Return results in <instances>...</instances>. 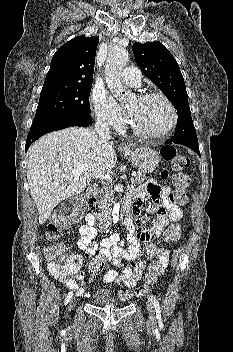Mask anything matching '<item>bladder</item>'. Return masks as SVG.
<instances>
[{"label":"bladder","mask_w":233,"mask_h":352,"mask_svg":"<svg viewBox=\"0 0 233 352\" xmlns=\"http://www.w3.org/2000/svg\"><path fill=\"white\" fill-rule=\"evenodd\" d=\"M93 303L97 306H121L122 302L109 289H99L93 297Z\"/></svg>","instance_id":"31cf9c89"}]
</instances>
